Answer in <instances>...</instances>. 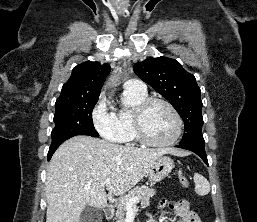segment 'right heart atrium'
<instances>
[{"instance_id":"right-heart-atrium-1","label":"right heart atrium","mask_w":257,"mask_h":222,"mask_svg":"<svg viewBox=\"0 0 257 222\" xmlns=\"http://www.w3.org/2000/svg\"><path fill=\"white\" fill-rule=\"evenodd\" d=\"M105 105V99H101L99 108H103ZM95 127L99 134L106 139L117 141L120 137L121 131L115 121L114 114L108 117V122L106 124H100L95 121Z\"/></svg>"}]
</instances>
